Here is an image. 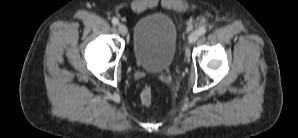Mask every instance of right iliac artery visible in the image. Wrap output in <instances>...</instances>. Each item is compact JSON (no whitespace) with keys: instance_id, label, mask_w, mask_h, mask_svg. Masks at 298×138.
Returning <instances> with one entry per match:
<instances>
[{"instance_id":"right-iliac-artery-1","label":"right iliac artery","mask_w":298,"mask_h":138,"mask_svg":"<svg viewBox=\"0 0 298 138\" xmlns=\"http://www.w3.org/2000/svg\"><path fill=\"white\" fill-rule=\"evenodd\" d=\"M112 24H113V25H117V24H119V20H118L117 18H113V19H112Z\"/></svg>"}]
</instances>
